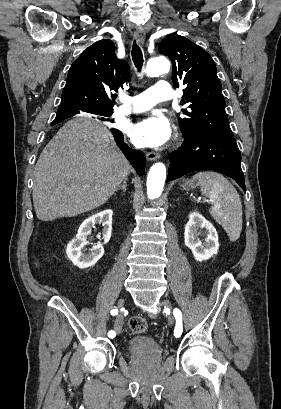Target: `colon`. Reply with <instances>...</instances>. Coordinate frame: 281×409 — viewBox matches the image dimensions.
Listing matches in <instances>:
<instances>
[{
	"instance_id": "colon-1",
	"label": "colon",
	"mask_w": 281,
	"mask_h": 409,
	"mask_svg": "<svg viewBox=\"0 0 281 409\" xmlns=\"http://www.w3.org/2000/svg\"><path fill=\"white\" fill-rule=\"evenodd\" d=\"M130 326L136 333H144L148 329V323L139 316H135L131 319Z\"/></svg>"
}]
</instances>
